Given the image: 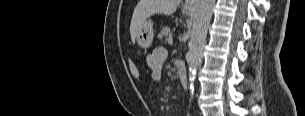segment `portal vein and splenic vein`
<instances>
[{"mask_svg": "<svg viewBox=\"0 0 305 116\" xmlns=\"http://www.w3.org/2000/svg\"><path fill=\"white\" fill-rule=\"evenodd\" d=\"M168 43H169L170 45H172V43H173V37H169Z\"/></svg>", "mask_w": 305, "mask_h": 116, "instance_id": "1", "label": "portal vein and splenic vein"}]
</instances>
